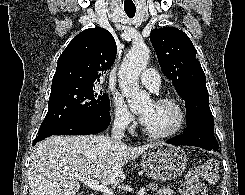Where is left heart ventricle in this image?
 Returning a JSON list of instances; mask_svg holds the SVG:
<instances>
[{
  "instance_id": "b2bd125f",
  "label": "left heart ventricle",
  "mask_w": 245,
  "mask_h": 195,
  "mask_svg": "<svg viewBox=\"0 0 245 195\" xmlns=\"http://www.w3.org/2000/svg\"><path fill=\"white\" fill-rule=\"evenodd\" d=\"M147 113L144 125L152 132L163 133L171 130L178 122L177 110L170 105L148 103L141 109V114Z\"/></svg>"
}]
</instances>
